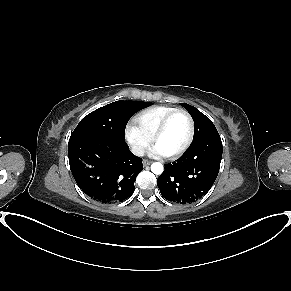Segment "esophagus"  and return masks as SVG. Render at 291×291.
Returning a JSON list of instances; mask_svg holds the SVG:
<instances>
[{
	"mask_svg": "<svg viewBox=\"0 0 291 291\" xmlns=\"http://www.w3.org/2000/svg\"><path fill=\"white\" fill-rule=\"evenodd\" d=\"M150 164H151V161H149V160H143V165L144 166H148Z\"/></svg>",
	"mask_w": 291,
	"mask_h": 291,
	"instance_id": "1",
	"label": "esophagus"
}]
</instances>
